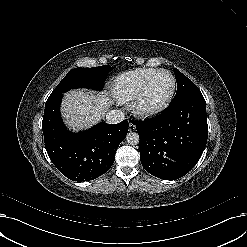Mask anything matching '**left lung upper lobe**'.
<instances>
[{
  "instance_id": "5c2ea615",
  "label": "left lung upper lobe",
  "mask_w": 247,
  "mask_h": 247,
  "mask_svg": "<svg viewBox=\"0 0 247 247\" xmlns=\"http://www.w3.org/2000/svg\"><path fill=\"white\" fill-rule=\"evenodd\" d=\"M177 81V92L170 105L179 103L189 97L201 94L198 87L178 69L174 68Z\"/></svg>"
}]
</instances>
